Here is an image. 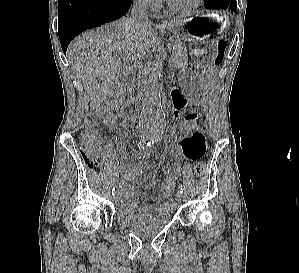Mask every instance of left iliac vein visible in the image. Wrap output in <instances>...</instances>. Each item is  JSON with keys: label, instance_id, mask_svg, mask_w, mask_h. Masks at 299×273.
<instances>
[{"label": "left iliac vein", "instance_id": "4c4485c4", "mask_svg": "<svg viewBox=\"0 0 299 273\" xmlns=\"http://www.w3.org/2000/svg\"><path fill=\"white\" fill-rule=\"evenodd\" d=\"M177 201L178 203H182L184 201V195L180 192L177 194Z\"/></svg>", "mask_w": 299, "mask_h": 273}]
</instances>
